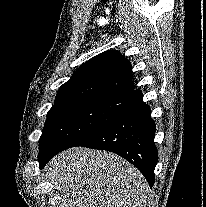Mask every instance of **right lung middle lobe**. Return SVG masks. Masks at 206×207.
Listing matches in <instances>:
<instances>
[{
    "mask_svg": "<svg viewBox=\"0 0 206 207\" xmlns=\"http://www.w3.org/2000/svg\"><path fill=\"white\" fill-rule=\"evenodd\" d=\"M128 96L88 97L57 101L49 110L40 137L39 155L74 146L119 116Z\"/></svg>",
    "mask_w": 206,
    "mask_h": 207,
    "instance_id": "right-lung-middle-lobe-1",
    "label": "right lung middle lobe"
}]
</instances>
